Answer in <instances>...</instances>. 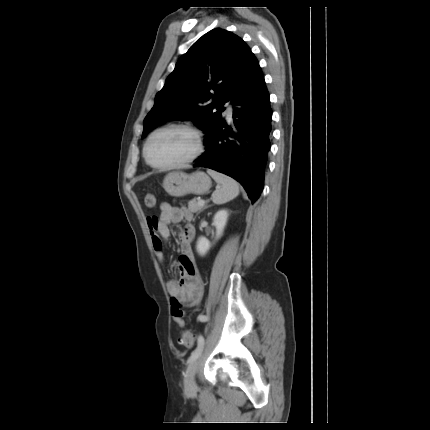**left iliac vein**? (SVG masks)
Returning a JSON list of instances; mask_svg holds the SVG:
<instances>
[{"label":"left iliac vein","instance_id":"1","mask_svg":"<svg viewBox=\"0 0 430 430\" xmlns=\"http://www.w3.org/2000/svg\"><path fill=\"white\" fill-rule=\"evenodd\" d=\"M199 365V357L189 364L185 375V386L187 390L193 391L196 389L197 385L195 382V373Z\"/></svg>","mask_w":430,"mask_h":430}]
</instances>
